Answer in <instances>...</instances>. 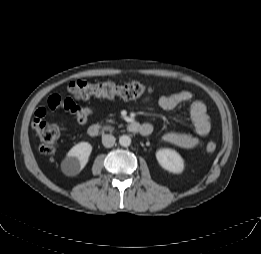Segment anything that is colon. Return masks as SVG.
I'll return each instance as SVG.
<instances>
[{"instance_id": "5ec220e1", "label": "colon", "mask_w": 261, "mask_h": 254, "mask_svg": "<svg viewBox=\"0 0 261 254\" xmlns=\"http://www.w3.org/2000/svg\"><path fill=\"white\" fill-rule=\"evenodd\" d=\"M68 90L75 100H86L91 97H121L126 100H134L148 96L152 93V89L146 87L139 82H130L123 85H116L111 82L92 83L84 80H77L70 83ZM72 102L71 100H65ZM61 104V99L58 96H51L48 100V105L51 108H56ZM39 109L37 113H42ZM37 135L40 142V150L44 155H50L54 151V145L59 139L62 131L61 124H46L39 122L37 127ZM208 153L216 151L217 146L214 142H208L206 147Z\"/></svg>"}]
</instances>
